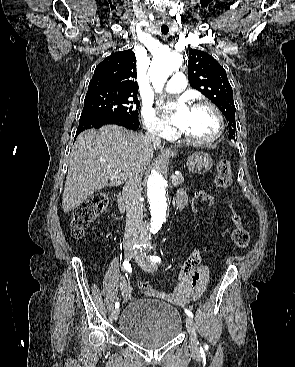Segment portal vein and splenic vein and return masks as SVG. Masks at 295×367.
I'll return each instance as SVG.
<instances>
[{"mask_svg": "<svg viewBox=\"0 0 295 367\" xmlns=\"http://www.w3.org/2000/svg\"><path fill=\"white\" fill-rule=\"evenodd\" d=\"M112 174L116 175L117 178L119 179H126V176L124 173H122L120 170H116V171H110ZM175 178V175L171 176V179Z\"/></svg>", "mask_w": 295, "mask_h": 367, "instance_id": "portal-vein-and-splenic-vein-1", "label": "portal vein and splenic vein"}]
</instances>
